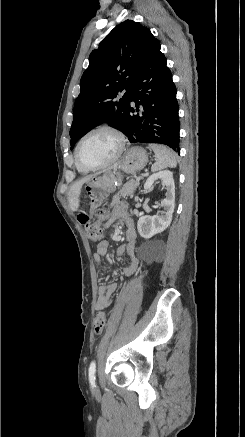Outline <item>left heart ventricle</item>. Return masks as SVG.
Masks as SVG:
<instances>
[{
    "instance_id": "1",
    "label": "left heart ventricle",
    "mask_w": 245,
    "mask_h": 437,
    "mask_svg": "<svg viewBox=\"0 0 245 437\" xmlns=\"http://www.w3.org/2000/svg\"><path fill=\"white\" fill-rule=\"evenodd\" d=\"M118 149V140L110 132L99 131L89 135L81 144V159L91 165L109 161Z\"/></svg>"
}]
</instances>
